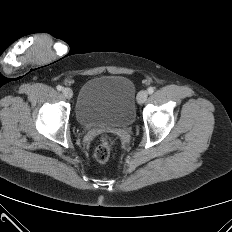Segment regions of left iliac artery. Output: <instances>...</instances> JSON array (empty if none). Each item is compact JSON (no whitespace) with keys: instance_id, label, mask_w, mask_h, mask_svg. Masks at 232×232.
<instances>
[{"instance_id":"1","label":"left iliac artery","mask_w":232,"mask_h":232,"mask_svg":"<svg viewBox=\"0 0 232 232\" xmlns=\"http://www.w3.org/2000/svg\"><path fill=\"white\" fill-rule=\"evenodd\" d=\"M147 91H148L149 94H152L154 92V88L153 87H149L147 89Z\"/></svg>"}]
</instances>
